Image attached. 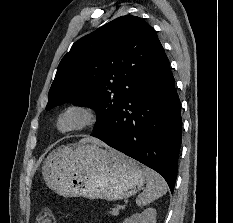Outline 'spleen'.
<instances>
[{
    "instance_id": "obj_1",
    "label": "spleen",
    "mask_w": 233,
    "mask_h": 223,
    "mask_svg": "<svg viewBox=\"0 0 233 223\" xmlns=\"http://www.w3.org/2000/svg\"><path fill=\"white\" fill-rule=\"evenodd\" d=\"M167 191V183L159 173L146 167V189L136 197L137 205H147Z\"/></svg>"
}]
</instances>
